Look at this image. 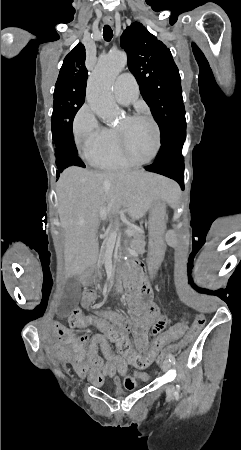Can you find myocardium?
Segmentation results:
<instances>
[{
	"label": "myocardium",
	"instance_id": "myocardium-1",
	"mask_svg": "<svg viewBox=\"0 0 241 450\" xmlns=\"http://www.w3.org/2000/svg\"><path fill=\"white\" fill-rule=\"evenodd\" d=\"M154 127H159V122H154ZM124 132H125V129L124 128H119L118 130H117V137H116V142L119 144V149H121V151H122V157H125L126 159V162H128V158L130 157L129 156V153H127V149L125 148V146H124V144H125V141H124V139H123V134H124ZM159 135H161V130H155V132H154V137H158V140L156 139V140H154V149H153V152H154V158H159V153H157L158 152V149H159V143L160 142H163V137H159ZM146 162H151V160H145Z\"/></svg>",
	"mask_w": 241,
	"mask_h": 450
}]
</instances>
